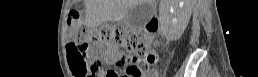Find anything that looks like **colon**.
<instances>
[{
	"label": "colon",
	"mask_w": 258,
	"mask_h": 77,
	"mask_svg": "<svg viewBox=\"0 0 258 77\" xmlns=\"http://www.w3.org/2000/svg\"><path fill=\"white\" fill-rule=\"evenodd\" d=\"M69 34L74 42L68 45V61L75 77H85L97 71L102 63L91 61L88 52L95 49L123 48L128 55L118 64L125 77H155L152 67L156 55L151 52L155 44L149 34L131 32L120 25L104 24L91 27L84 23L77 12L68 16ZM118 77L117 75H114Z\"/></svg>",
	"instance_id": "obj_1"
}]
</instances>
